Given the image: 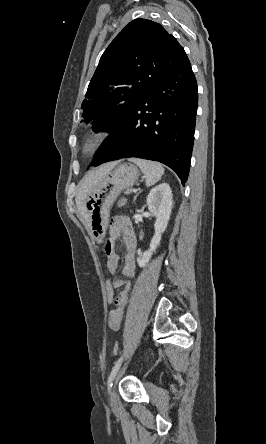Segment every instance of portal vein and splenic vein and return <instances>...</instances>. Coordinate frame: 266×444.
<instances>
[{"label": "portal vein and splenic vein", "instance_id": "1", "mask_svg": "<svg viewBox=\"0 0 266 444\" xmlns=\"http://www.w3.org/2000/svg\"><path fill=\"white\" fill-rule=\"evenodd\" d=\"M133 192L136 193V192H137V189H134Z\"/></svg>", "mask_w": 266, "mask_h": 444}]
</instances>
